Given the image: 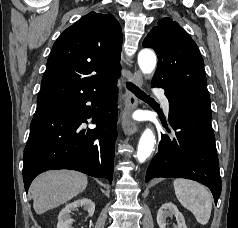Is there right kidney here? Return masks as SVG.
Instances as JSON below:
<instances>
[{
  "mask_svg": "<svg viewBox=\"0 0 238 228\" xmlns=\"http://www.w3.org/2000/svg\"><path fill=\"white\" fill-rule=\"evenodd\" d=\"M78 207H82L88 212L91 217L95 211V204L88 198L78 199L72 203H69L62 209L58 215L57 228H74V220L71 218V212L76 210Z\"/></svg>",
  "mask_w": 238,
  "mask_h": 228,
  "instance_id": "right-kidney-1",
  "label": "right kidney"
}]
</instances>
